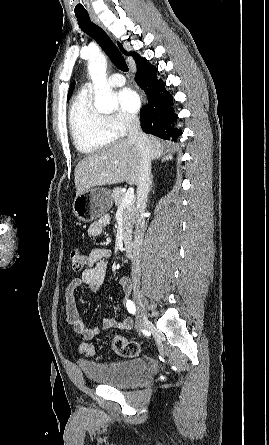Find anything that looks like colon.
Masks as SVG:
<instances>
[{"mask_svg":"<svg viewBox=\"0 0 269 445\" xmlns=\"http://www.w3.org/2000/svg\"><path fill=\"white\" fill-rule=\"evenodd\" d=\"M71 267L74 272H80L87 263L86 255L79 249H73L69 255ZM113 348L119 355L126 358H133L139 355L140 346L137 342L128 340L121 336H116L113 340ZM80 352L87 357H96L95 347L91 343H82Z\"/></svg>","mask_w":269,"mask_h":445,"instance_id":"5ec220e1","label":"colon"}]
</instances>
